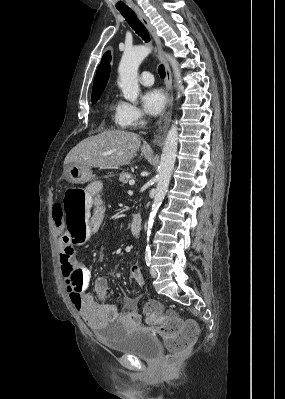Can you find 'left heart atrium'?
<instances>
[{
  "instance_id": "obj_1",
  "label": "left heart atrium",
  "mask_w": 285,
  "mask_h": 399,
  "mask_svg": "<svg viewBox=\"0 0 285 399\" xmlns=\"http://www.w3.org/2000/svg\"><path fill=\"white\" fill-rule=\"evenodd\" d=\"M142 104L148 114L155 116L163 111L166 98L161 90L151 89L142 96Z\"/></svg>"
}]
</instances>
